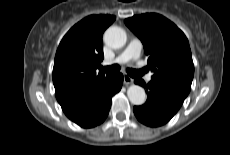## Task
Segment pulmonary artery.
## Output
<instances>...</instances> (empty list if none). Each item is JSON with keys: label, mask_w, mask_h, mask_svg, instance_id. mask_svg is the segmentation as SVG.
I'll return each mask as SVG.
<instances>
[{"label": "pulmonary artery", "mask_w": 230, "mask_h": 155, "mask_svg": "<svg viewBox=\"0 0 230 155\" xmlns=\"http://www.w3.org/2000/svg\"><path fill=\"white\" fill-rule=\"evenodd\" d=\"M142 52V43L138 39H132L124 51L112 62L105 61V65L111 63L123 64L130 60L138 59ZM150 79V78H148Z\"/></svg>", "instance_id": "e3ab8cb5"}]
</instances>
